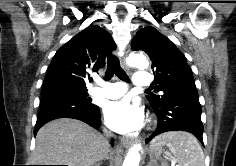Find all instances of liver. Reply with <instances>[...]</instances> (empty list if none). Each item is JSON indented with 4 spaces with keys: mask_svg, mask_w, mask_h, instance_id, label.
<instances>
[{
    "mask_svg": "<svg viewBox=\"0 0 236 166\" xmlns=\"http://www.w3.org/2000/svg\"><path fill=\"white\" fill-rule=\"evenodd\" d=\"M109 146L99 132L75 119L45 124L36 135L34 165L94 166L108 158Z\"/></svg>",
    "mask_w": 236,
    "mask_h": 166,
    "instance_id": "1",
    "label": "liver"
}]
</instances>
